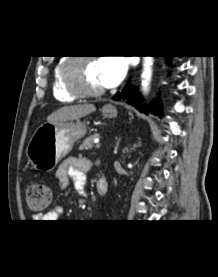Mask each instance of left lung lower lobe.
I'll return each mask as SVG.
<instances>
[{"label":"left lung lower lobe","mask_w":218,"mask_h":277,"mask_svg":"<svg viewBox=\"0 0 218 277\" xmlns=\"http://www.w3.org/2000/svg\"><path fill=\"white\" fill-rule=\"evenodd\" d=\"M131 90H132L131 86L127 85V86L124 88L123 93H122V94H120V93L116 94V95L114 96V99H115V100H118V99H120V98H122V97L125 98V93L130 94V95H132V98H131L128 102H129L131 105L135 106L137 109H140L141 111L148 113V111H145V105H142V104H141V103H142V98H141V96L137 93V91L132 92ZM148 110H150V109H148ZM151 111H152L153 113H155V114L160 113L161 111H160L159 104H158V103L152 104V106H151Z\"/></svg>","instance_id":"1"}]
</instances>
